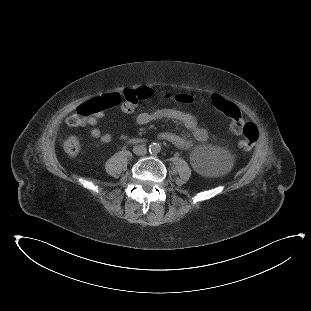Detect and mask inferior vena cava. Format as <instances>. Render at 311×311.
<instances>
[{
	"instance_id": "1",
	"label": "inferior vena cava",
	"mask_w": 311,
	"mask_h": 311,
	"mask_svg": "<svg viewBox=\"0 0 311 311\" xmlns=\"http://www.w3.org/2000/svg\"><path fill=\"white\" fill-rule=\"evenodd\" d=\"M133 152L135 155L143 156L147 153V150L144 146L138 145L133 147Z\"/></svg>"
}]
</instances>
